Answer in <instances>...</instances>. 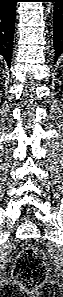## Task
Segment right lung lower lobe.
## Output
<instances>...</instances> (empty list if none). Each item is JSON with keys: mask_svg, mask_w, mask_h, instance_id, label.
<instances>
[{"mask_svg": "<svg viewBox=\"0 0 63 297\" xmlns=\"http://www.w3.org/2000/svg\"><path fill=\"white\" fill-rule=\"evenodd\" d=\"M18 0H0V55L10 67Z\"/></svg>", "mask_w": 63, "mask_h": 297, "instance_id": "1", "label": "right lung lower lobe"}]
</instances>
